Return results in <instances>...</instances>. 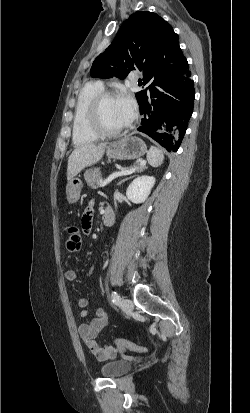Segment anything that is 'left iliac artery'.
I'll return each mask as SVG.
<instances>
[{
  "instance_id": "obj_1",
  "label": "left iliac artery",
  "mask_w": 250,
  "mask_h": 413,
  "mask_svg": "<svg viewBox=\"0 0 250 413\" xmlns=\"http://www.w3.org/2000/svg\"><path fill=\"white\" fill-rule=\"evenodd\" d=\"M111 297H112V302L117 305L120 302V296L117 294V292L112 291L111 292Z\"/></svg>"
}]
</instances>
